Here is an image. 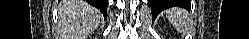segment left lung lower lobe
<instances>
[{"label": "left lung lower lobe", "mask_w": 249, "mask_h": 39, "mask_svg": "<svg viewBox=\"0 0 249 39\" xmlns=\"http://www.w3.org/2000/svg\"><path fill=\"white\" fill-rule=\"evenodd\" d=\"M148 2L152 8L153 18H155L161 11L169 7L175 6L180 2H182V5H176V6L189 8V1L187 0H148Z\"/></svg>", "instance_id": "left-lung-lower-lobe-1"}]
</instances>
